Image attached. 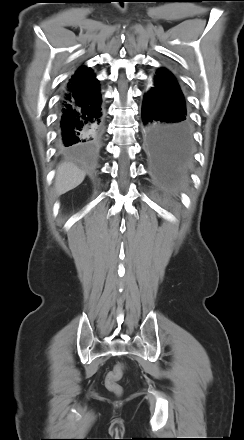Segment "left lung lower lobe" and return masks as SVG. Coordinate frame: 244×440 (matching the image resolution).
<instances>
[{
    "instance_id": "1",
    "label": "left lung lower lobe",
    "mask_w": 244,
    "mask_h": 440,
    "mask_svg": "<svg viewBox=\"0 0 244 440\" xmlns=\"http://www.w3.org/2000/svg\"><path fill=\"white\" fill-rule=\"evenodd\" d=\"M146 153L163 175L185 176L191 163L193 131L186 107L150 87L142 104Z\"/></svg>"
}]
</instances>
